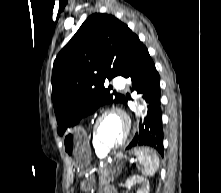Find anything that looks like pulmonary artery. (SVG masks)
<instances>
[{"label":"pulmonary artery","mask_w":221,"mask_h":193,"mask_svg":"<svg viewBox=\"0 0 221 193\" xmlns=\"http://www.w3.org/2000/svg\"><path fill=\"white\" fill-rule=\"evenodd\" d=\"M114 85H115L116 88L122 89V88H124V86H125V80H124L122 77L117 76V77L114 79Z\"/></svg>","instance_id":"1"}]
</instances>
